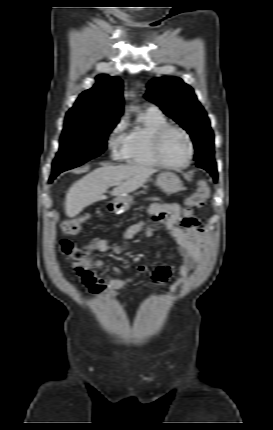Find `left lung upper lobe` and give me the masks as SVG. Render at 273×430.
Returning a JSON list of instances; mask_svg holds the SVG:
<instances>
[{
	"mask_svg": "<svg viewBox=\"0 0 273 430\" xmlns=\"http://www.w3.org/2000/svg\"><path fill=\"white\" fill-rule=\"evenodd\" d=\"M147 87L146 99L157 104L190 134L196 148L194 159L199 162L214 158V135L193 89L176 77L153 79Z\"/></svg>",
	"mask_w": 273,
	"mask_h": 430,
	"instance_id": "5c2ea615",
	"label": "left lung upper lobe"
}]
</instances>
